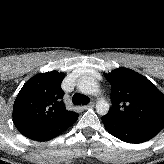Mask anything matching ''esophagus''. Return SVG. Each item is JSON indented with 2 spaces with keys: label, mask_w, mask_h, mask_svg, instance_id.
<instances>
[{
  "label": "esophagus",
  "mask_w": 164,
  "mask_h": 164,
  "mask_svg": "<svg viewBox=\"0 0 164 164\" xmlns=\"http://www.w3.org/2000/svg\"><path fill=\"white\" fill-rule=\"evenodd\" d=\"M94 104H95V103L92 101V102H90L88 105L83 106V108H84V109L93 108V107H94Z\"/></svg>",
  "instance_id": "obj_1"
}]
</instances>
